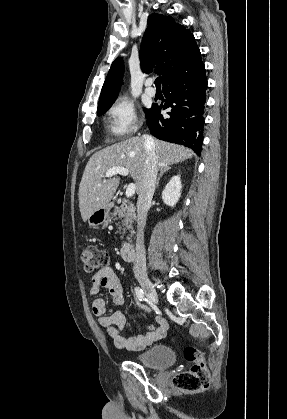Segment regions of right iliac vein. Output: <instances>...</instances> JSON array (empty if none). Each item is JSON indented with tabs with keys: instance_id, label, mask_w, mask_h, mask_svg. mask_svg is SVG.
Wrapping results in <instances>:
<instances>
[{
	"instance_id": "right-iliac-vein-1",
	"label": "right iliac vein",
	"mask_w": 287,
	"mask_h": 419,
	"mask_svg": "<svg viewBox=\"0 0 287 419\" xmlns=\"http://www.w3.org/2000/svg\"><path fill=\"white\" fill-rule=\"evenodd\" d=\"M138 282L140 283L145 295L147 296V298L154 303L158 302V296L157 293L154 289L153 284L151 283V281L149 280L148 277L146 276H139L137 277Z\"/></svg>"
}]
</instances>
